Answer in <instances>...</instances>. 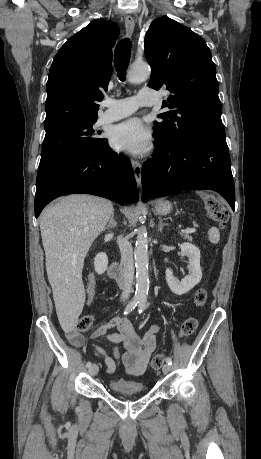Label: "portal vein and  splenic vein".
<instances>
[{"label": "portal vein and splenic vein", "mask_w": 261, "mask_h": 459, "mask_svg": "<svg viewBox=\"0 0 261 459\" xmlns=\"http://www.w3.org/2000/svg\"><path fill=\"white\" fill-rule=\"evenodd\" d=\"M196 231L195 228H187V229H182L181 233L188 234V233H194Z\"/></svg>", "instance_id": "1"}]
</instances>
